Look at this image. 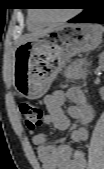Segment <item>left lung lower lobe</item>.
<instances>
[{
    "label": "left lung lower lobe",
    "mask_w": 104,
    "mask_h": 169,
    "mask_svg": "<svg viewBox=\"0 0 104 169\" xmlns=\"http://www.w3.org/2000/svg\"><path fill=\"white\" fill-rule=\"evenodd\" d=\"M85 10L69 23H104V7L99 0H88Z\"/></svg>",
    "instance_id": "obj_1"
}]
</instances>
